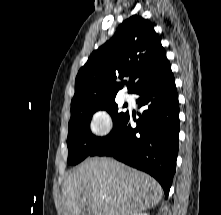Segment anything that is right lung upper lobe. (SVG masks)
<instances>
[{
	"instance_id": "cb5924a9",
	"label": "right lung upper lobe",
	"mask_w": 221,
	"mask_h": 215,
	"mask_svg": "<svg viewBox=\"0 0 221 215\" xmlns=\"http://www.w3.org/2000/svg\"><path fill=\"white\" fill-rule=\"evenodd\" d=\"M170 71L169 60L153 25L133 15L117 28L109 41L92 52L79 70L71 105L114 99L125 83L124 77L130 78L129 93H136Z\"/></svg>"
}]
</instances>
